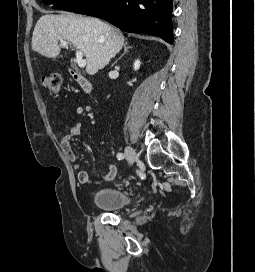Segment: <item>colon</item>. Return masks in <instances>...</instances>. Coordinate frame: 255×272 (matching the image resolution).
I'll list each match as a JSON object with an SVG mask.
<instances>
[{"label": "colon", "mask_w": 255, "mask_h": 272, "mask_svg": "<svg viewBox=\"0 0 255 272\" xmlns=\"http://www.w3.org/2000/svg\"><path fill=\"white\" fill-rule=\"evenodd\" d=\"M62 84V75L48 73L42 76V85L52 96H58Z\"/></svg>", "instance_id": "1"}]
</instances>
